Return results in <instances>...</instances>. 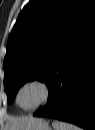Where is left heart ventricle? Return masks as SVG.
Listing matches in <instances>:
<instances>
[{
    "label": "left heart ventricle",
    "instance_id": "b2bd125f",
    "mask_svg": "<svg viewBox=\"0 0 95 130\" xmlns=\"http://www.w3.org/2000/svg\"><path fill=\"white\" fill-rule=\"evenodd\" d=\"M43 98V90L38 85H29L22 89L18 102L23 108H31L37 105Z\"/></svg>",
    "mask_w": 95,
    "mask_h": 130
}]
</instances>
